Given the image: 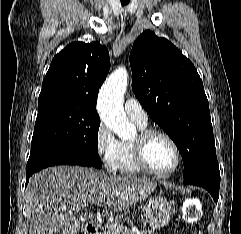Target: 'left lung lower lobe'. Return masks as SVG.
Returning a JSON list of instances; mask_svg holds the SVG:
<instances>
[{"instance_id":"left-lung-lower-lobe-1","label":"left lung lower lobe","mask_w":241,"mask_h":234,"mask_svg":"<svg viewBox=\"0 0 241 234\" xmlns=\"http://www.w3.org/2000/svg\"><path fill=\"white\" fill-rule=\"evenodd\" d=\"M184 182L186 184L197 185V186L205 188L206 190H208V192H210L214 201L215 202L218 201L220 180H215L210 177H195V178H191V179L184 178Z\"/></svg>"}]
</instances>
